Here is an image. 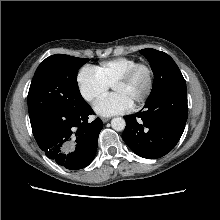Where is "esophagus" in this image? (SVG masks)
<instances>
[{
	"mask_svg": "<svg viewBox=\"0 0 220 220\" xmlns=\"http://www.w3.org/2000/svg\"><path fill=\"white\" fill-rule=\"evenodd\" d=\"M110 120V118H106V117H104V118H102V121L104 122V123H106V122H108Z\"/></svg>",
	"mask_w": 220,
	"mask_h": 220,
	"instance_id": "34e87169",
	"label": "esophagus"
}]
</instances>
